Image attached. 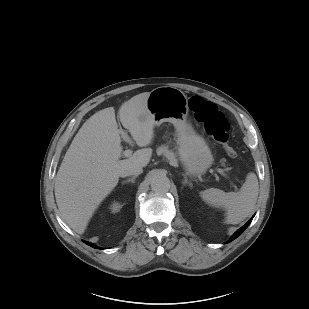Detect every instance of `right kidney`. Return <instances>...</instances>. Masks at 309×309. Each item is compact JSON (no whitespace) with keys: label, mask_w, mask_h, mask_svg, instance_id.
Listing matches in <instances>:
<instances>
[{"label":"right kidney","mask_w":309,"mask_h":309,"mask_svg":"<svg viewBox=\"0 0 309 309\" xmlns=\"http://www.w3.org/2000/svg\"><path fill=\"white\" fill-rule=\"evenodd\" d=\"M120 208H121V205L115 202L111 205L110 209L112 210L113 213H115V212H118Z\"/></svg>","instance_id":"ca27d5eb"}]
</instances>
